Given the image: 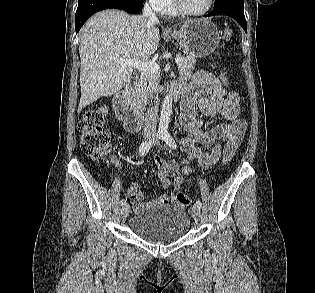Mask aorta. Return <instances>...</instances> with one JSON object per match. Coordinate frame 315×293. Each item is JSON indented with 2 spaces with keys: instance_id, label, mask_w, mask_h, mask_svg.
Instances as JSON below:
<instances>
[{
  "instance_id": "1",
  "label": "aorta",
  "mask_w": 315,
  "mask_h": 293,
  "mask_svg": "<svg viewBox=\"0 0 315 293\" xmlns=\"http://www.w3.org/2000/svg\"><path fill=\"white\" fill-rule=\"evenodd\" d=\"M172 97L167 95L163 101L160 122H159V130L160 131H167L170 117L172 113Z\"/></svg>"
}]
</instances>
